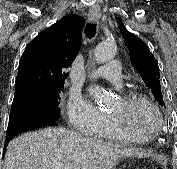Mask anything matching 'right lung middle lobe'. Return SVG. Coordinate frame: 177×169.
I'll use <instances>...</instances> for the list:
<instances>
[{"mask_svg":"<svg viewBox=\"0 0 177 169\" xmlns=\"http://www.w3.org/2000/svg\"><path fill=\"white\" fill-rule=\"evenodd\" d=\"M63 86H29L14 95L11 112H44L55 117L60 116V95Z\"/></svg>","mask_w":177,"mask_h":169,"instance_id":"dd1d6c3e","label":"right lung middle lobe"}]
</instances>
